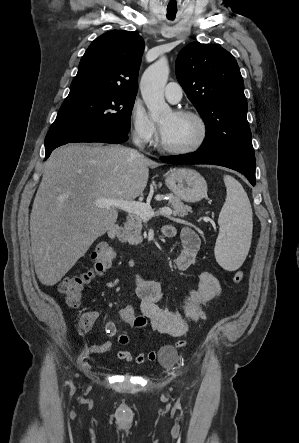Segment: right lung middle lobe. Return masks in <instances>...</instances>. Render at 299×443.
I'll list each match as a JSON object with an SVG mask.
<instances>
[{"label": "right lung middle lobe", "instance_id": "obj_1", "mask_svg": "<svg viewBox=\"0 0 299 443\" xmlns=\"http://www.w3.org/2000/svg\"><path fill=\"white\" fill-rule=\"evenodd\" d=\"M135 96L96 88L70 89L48 132L104 127L129 132Z\"/></svg>", "mask_w": 299, "mask_h": 443}]
</instances>
